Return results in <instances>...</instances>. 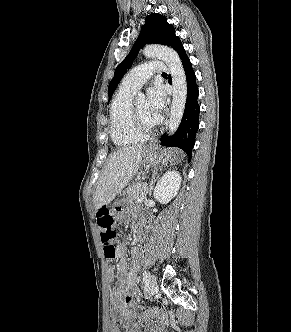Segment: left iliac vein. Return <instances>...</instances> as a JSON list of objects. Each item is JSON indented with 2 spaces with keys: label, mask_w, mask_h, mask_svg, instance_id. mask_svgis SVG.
Instances as JSON below:
<instances>
[{
  "label": "left iliac vein",
  "mask_w": 291,
  "mask_h": 332,
  "mask_svg": "<svg viewBox=\"0 0 291 332\" xmlns=\"http://www.w3.org/2000/svg\"><path fill=\"white\" fill-rule=\"evenodd\" d=\"M157 291V279L155 275H151L147 283V294L152 297Z\"/></svg>",
  "instance_id": "1"
}]
</instances>
